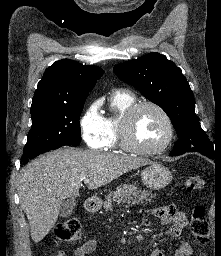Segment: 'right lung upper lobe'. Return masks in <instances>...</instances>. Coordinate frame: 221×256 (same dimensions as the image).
I'll list each match as a JSON object with an SVG mask.
<instances>
[{"instance_id": "right-lung-upper-lobe-1", "label": "right lung upper lobe", "mask_w": 221, "mask_h": 256, "mask_svg": "<svg viewBox=\"0 0 221 256\" xmlns=\"http://www.w3.org/2000/svg\"><path fill=\"white\" fill-rule=\"evenodd\" d=\"M103 69L83 65L70 59L56 61L48 67L32 99L31 111L79 104L87 98Z\"/></svg>"}]
</instances>
